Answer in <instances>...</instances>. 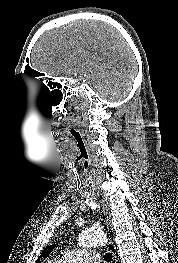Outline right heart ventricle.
Wrapping results in <instances>:
<instances>
[{"label": "right heart ventricle", "mask_w": 178, "mask_h": 263, "mask_svg": "<svg viewBox=\"0 0 178 263\" xmlns=\"http://www.w3.org/2000/svg\"><path fill=\"white\" fill-rule=\"evenodd\" d=\"M48 263H60L59 261H57L56 259L50 260Z\"/></svg>", "instance_id": "right-heart-ventricle-1"}]
</instances>
